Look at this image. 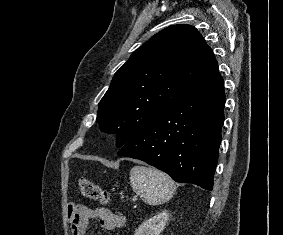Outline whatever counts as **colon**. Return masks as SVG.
<instances>
[{
    "label": "colon",
    "mask_w": 283,
    "mask_h": 235,
    "mask_svg": "<svg viewBox=\"0 0 283 235\" xmlns=\"http://www.w3.org/2000/svg\"><path fill=\"white\" fill-rule=\"evenodd\" d=\"M78 186L81 193L87 198L98 200L102 204H107L110 200L109 192L87 177H80Z\"/></svg>",
    "instance_id": "obj_1"
}]
</instances>
